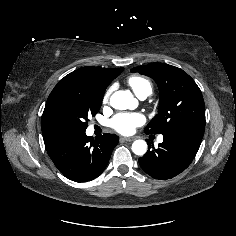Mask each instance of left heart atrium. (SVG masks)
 Returning a JSON list of instances; mask_svg holds the SVG:
<instances>
[{
	"instance_id": "obj_1",
	"label": "left heart atrium",
	"mask_w": 236,
	"mask_h": 236,
	"mask_svg": "<svg viewBox=\"0 0 236 236\" xmlns=\"http://www.w3.org/2000/svg\"><path fill=\"white\" fill-rule=\"evenodd\" d=\"M145 118L140 113H119L111 119V127L120 134L128 135L141 126Z\"/></svg>"
}]
</instances>
